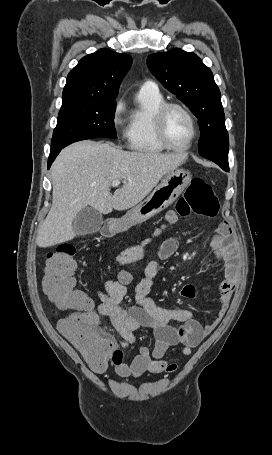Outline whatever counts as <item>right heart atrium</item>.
I'll use <instances>...</instances> for the list:
<instances>
[{
    "instance_id": "1",
    "label": "right heart atrium",
    "mask_w": 272,
    "mask_h": 455,
    "mask_svg": "<svg viewBox=\"0 0 272 455\" xmlns=\"http://www.w3.org/2000/svg\"><path fill=\"white\" fill-rule=\"evenodd\" d=\"M125 106L124 103L120 100L116 103L113 111V124L119 126L122 123V113L124 112Z\"/></svg>"
}]
</instances>
